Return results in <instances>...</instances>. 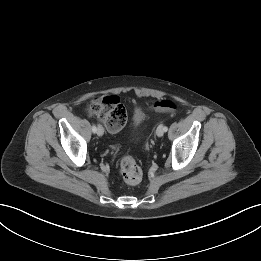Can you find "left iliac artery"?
<instances>
[{"mask_svg":"<svg viewBox=\"0 0 261 261\" xmlns=\"http://www.w3.org/2000/svg\"><path fill=\"white\" fill-rule=\"evenodd\" d=\"M167 130H168V128L165 126V127H164V131L166 132Z\"/></svg>","mask_w":261,"mask_h":261,"instance_id":"1","label":"left iliac artery"}]
</instances>
